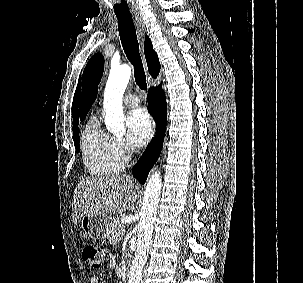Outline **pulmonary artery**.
I'll return each instance as SVG.
<instances>
[{
    "label": "pulmonary artery",
    "instance_id": "e3ab8cb5",
    "mask_svg": "<svg viewBox=\"0 0 303 283\" xmlns=\"http://www.w3.org/2000/svg\"><path fill=\"white\" fill-rule=\"evenodd\" d=\"M124 103L128 107H137L140 104L139 98L135 94H128L124 98Z\"/></svg>",
    "mask_w": 303,
    "mask_h": 283
}]
</instances>
